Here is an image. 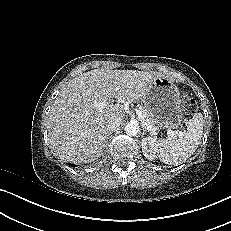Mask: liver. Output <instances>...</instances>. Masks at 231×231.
Wrapping results in <instances>:
<instances>
[{
	"label": "liver",
	"instance_id": "liver-1",
	"mask_svg": "<svg viewBox=\"0 0 231 231\" xmlns=\"http://www.w3.org/2000/svg\"><path fill=\"white\" fill-rule=\"evenodd\" d=\"M163 75L155 71L94 69L79 75L63 88L51 107L48 138L51 149L74 164L93 162L101 157L108 138L109 121H122L123 105L99 111L95 101L116 98L139 101L150 85Z\"/></svg>",
	"mask_w": 231,
	"mask_h": 231
}]
</instances>
